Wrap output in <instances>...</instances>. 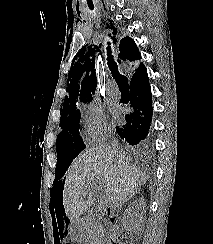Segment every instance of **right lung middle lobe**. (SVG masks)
Instances as JSON below:
<instances>
[{"label": "right lung middle lobe", "mask_w": 213, "mask_h": 244, "mask_svg": "<svg viewBox=\"0 0 213 244\" xmlns=\"http://www.w3.org/2000/svg\"><path fill=\"white\" fill-rule=\"evenodd\" d=\"M79 109L80 106H74L62 112L61 132L57 136V166L54 183L62 177L72 160L86 147L79 135L81 118Z\"/></svg>", "instance_id": "dd1d6c3e"}]
</instances>
